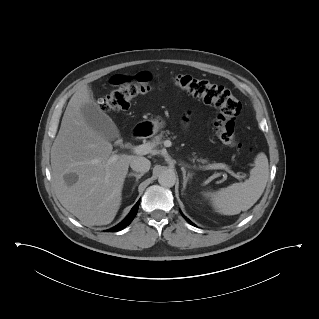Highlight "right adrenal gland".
Masks as SVG:
<instances>
[{
    "instance_id": "right-adrenal-gland-1",
    "label": "right adrenal gland",
    "mask_w": 319,
    "mask_h": 319,
    "mask_svg": "<svg viewBox=\"0 0 319 319\" xmlns=\"http://www.w3.org/2000/svg\"><path fill=\"white\" fill-rule=\"evenodd\" d=\"M143 175H144L143 173L138 174V173H133V172H131V173L128 174V176H134V177H136V182H138V180H139Z\"/></svg>"
}]
</instances>
